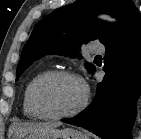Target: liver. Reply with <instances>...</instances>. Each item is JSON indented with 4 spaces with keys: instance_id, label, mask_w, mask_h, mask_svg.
Masks as SVG:
<instances>
[{
    "instance_id": "6515ba94",
    "label": "liver",
    "mask_w": 141,
    "mask_h": 139,
    "mask_svg": "<svg viewBox=\"0 0 141 139\" xmlns=\"http://www.w3.org/2000/svg\"><path fill=\"white\" fill-rule=\"evenodd\" d=\"M60 125H61L60 122L16 123L10 127L9 134L12 135L13 133H15V135H23L34 130L56 128L57 126Z\"/></svg>"
}]
</instances>
